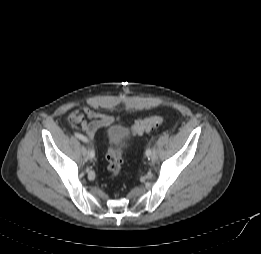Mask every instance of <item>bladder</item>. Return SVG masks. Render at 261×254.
Returning a JSON list of instances; mask_svg holds the SVG:
<instances>
[{"instance_id":"31cf9c89","label":"bladder","mask_w":261,"mask_h":254,"mask_svg":"<svg viewBox=\"0 0 261 254\" xmlns=\"http://www.w3.org/2000/svg\"><path fill=\"white\" fill-rule=\"evenodd\" d=\"M125 130V127L120 124L110 126L106 133L108 143L117 146V148H120L126 138Z\"/></svg>"}]
</instances>
